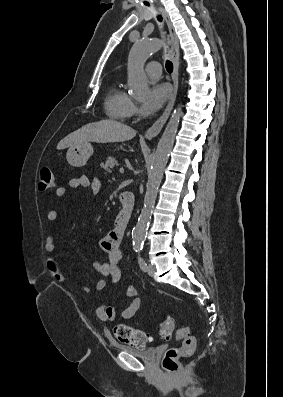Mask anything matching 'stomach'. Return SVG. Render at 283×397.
Listing matches in <instances>:
<instances>
[{
    "instance_id": "obj_1",
    "label": "stomach",
    "mask_w": 283,
    "mask_h": 397,
    "mask_svg": "<svg viewBox=\"0 0 283 397\" xmlns=\"http://www.w3.org/2000/svg\"><path fill=\"white\" fill-rule=\"evenodd\" d=\"M93 154V147L89 142H84L72 146L67 151L66 157L68 163L73 167H81L86 164Z\"/></svg>"
}]
</instances>
